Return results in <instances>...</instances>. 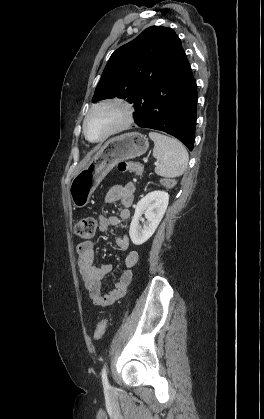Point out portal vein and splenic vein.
<instances>
[{"label": "portal vein and splenic vein", "mask_w": 264, "mask_h": 419, "mask_svg": "<svg viewBox=\"0 0 264 419\" xmlns=\"http://www.w3.org/2000/svg\"><path fill=\"white\" fill-rule=\"evenodd\" d=\"M144 161L147 162V159H145ZM155 165H158V162H155Z\"/></svg>", "instance_id": "obj_1"}]
</instances>
